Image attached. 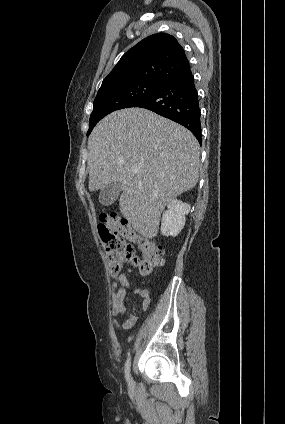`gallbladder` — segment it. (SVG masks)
<instances>
[{
	"label": "gallbladder",
	"mask_w": 285,
	"mask_h": 424,
	"mask_svg": "<svg viewBox=\"0 0 285 424\" xmlns=\"http://www.w3.org/2000/svg\"><path fill=\"white\" fill-rule=\"evenodd\" d=\"M120 190L121 184L119 182H111L107 184L100 192V203L104 206L112 205L118 198Z\"/></svg>",
	"instance_id": "obj_1"
}]
</instances>
